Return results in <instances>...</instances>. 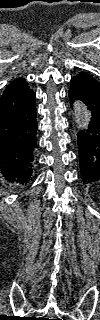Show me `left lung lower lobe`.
Here are the masks:
<instances>
[{"mask_svg":"<svg viewBox=\"0 0 100 320\" xmlns=\"http://www.w3.org/2000/svg\"><path fill=\"white\" fill-rule=\"evenodd\" d=\"M71 107L81 101L91 113L88 127L77 134L80 171L83 182L100 179V83L86 72L71 79Z\"/></svg>","mask_w":100,"mask_h":320,"instance_id":"0a47b994","label":"left lung lower lobe"}]
</instances>
